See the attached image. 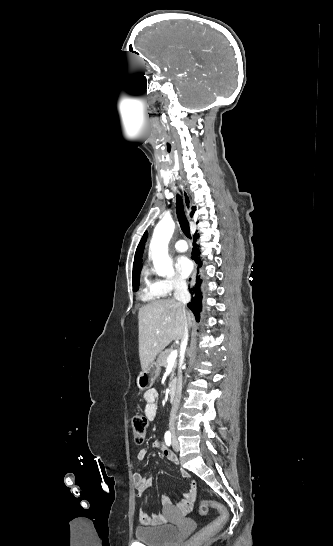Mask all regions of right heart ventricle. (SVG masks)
Here are the masks:
<instances>
[{
    "label": "right heart ventricle",
    "mask_w": 333,
    "mask_h": 546,
    "mask_svg": "<svg viewBox=\"0 0 333 546\" xmlns=\"http://www.w3.org/2000/svg\"><path fill=\"white\" fill-rule=\"evenodd\" d=\"M142 287L140 296L143 301L145 302H154L156 301L160 295L158 294L155 282L151 278L150 270L148 267H145L142 271Z\"/></svg>",
    "instance_id": "right-heart-ventricle-1"
}]
</instances>
